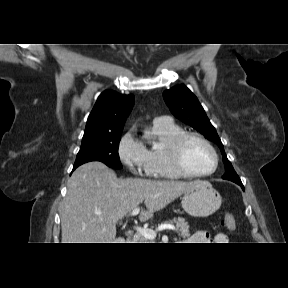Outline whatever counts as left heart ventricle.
<instances>
[{
  "instance_id": "obj_1",
  "label": "left heart ventricle",
  "mask_w": 288,
  "mask_h": 288,
  "mask_svg": "<svg viewBox=\"0 0 288 288\" xmlns=\"http://www.w3.org/2000/svg\"><path fill=\"white\" fill-rule=\"evenodd\" d=\"M183 158L187 168L195 173H206L214 167L213 154L197 140L192 139L186 143Z\"/></svg>"
}]
</instances>
